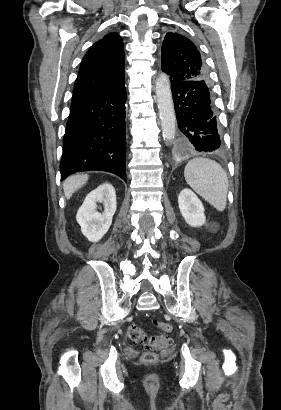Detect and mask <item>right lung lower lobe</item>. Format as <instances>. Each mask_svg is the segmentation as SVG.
Returning a JSON list of instances; mask_svg holds the SVG:
<instances>
[{"instance_id":"obj_1","label":"right lung lower lobe","mask_w":281,"mask_h":410,"mask_svg":"<svg viewBox=\"0 0 281 410\" xmlns=\"http://www.w3.org/2000/svg\"><path fill=\"white\" fill-rule=\"evenodd\" d=\"M125 83L73 103L63 138L61 180L86 170L112 172L126 181Z\"/></svg>"}]
</instances>
